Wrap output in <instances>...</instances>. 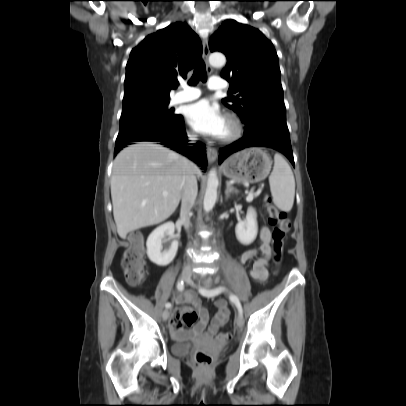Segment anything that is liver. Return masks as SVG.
Returning a JSON list of instances; mask_svg holds the SVG:
<instances>
[{"instance_id": "1", "label": "liver", "mask_w": 406, "mask_h": 406, "mask_svg": "<svg viewBox=\"0 0 406 406\" xmlns=\"http://www.w3.org/2000/svg\"><path fill=\"white\" fill-rule=\"evenodd\" d=\"M186 158L152 142H139L115 158L111 176L113 215L118 235L163 222L176 210L183 188ZM168 193L167 196L163 192Z\"/></svg>"}]
</instances>
